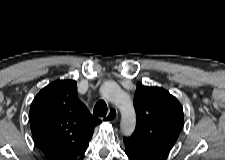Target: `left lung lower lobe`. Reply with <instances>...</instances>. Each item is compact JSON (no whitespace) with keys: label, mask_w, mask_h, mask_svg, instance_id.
Masks as SVG:
<instances>
[{"label":"left lung lower lobe","mask_w":225,"mask_h":160,"mask_svg":"<svg viewBox=\"0 0 225 160\" xmlns=\"http://www.w3.org/2000/svg\"><path fill=\"white\" fill-rule=\"evenodd\" d=\"M125 154L129 160H144L143 158L131 153L128 149L125 148Z\"/></svg>","instance_id":"1"}]
</instances>
